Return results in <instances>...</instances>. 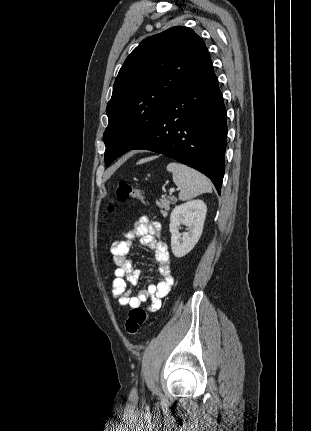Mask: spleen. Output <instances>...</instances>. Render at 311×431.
Instances as JSON below:
<instances>
[{"instance_id": "1", "label": "spleen", "mask_w": 311, "mask_h": 431, "mask_svg": "<svg viewBox=\"0 0 311 431\" xmlns=\"http://www.w3.org/2000/svg\"><path fill=\"white\" fill-rule=\"evenodd\" d=\"M167 172H172V178L174 184L180 188L179 200L186 202V200H193L200 194H206L212 192V186L203 174H199L196 170L183 166V164H177V162H171L167 166Z\"/></svg>"}]
</instances>
